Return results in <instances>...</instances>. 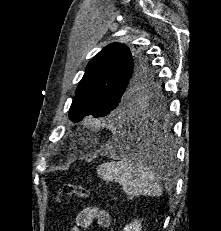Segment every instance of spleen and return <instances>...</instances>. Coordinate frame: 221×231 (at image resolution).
I'll use <instances>...</instances> for the list:
<instances>
[{
	"instance_id": "3e777b00",
	"label": "spleen",
	"mask_w": 221,
	"mask_h": 231,
	"mask_svg": "<svg viewBox=\"0 0 221 231\" xmlns=\"http://www.w3.org/2000/svg\"><path fill=\"white\" fill-rule=\"evenodd\" d=\"M97 173L105 181L118 182L124 192L131 196H160L162 185L160 178L147 166L124 158L100 165Z\"/></svg>"
}]
</instances>
